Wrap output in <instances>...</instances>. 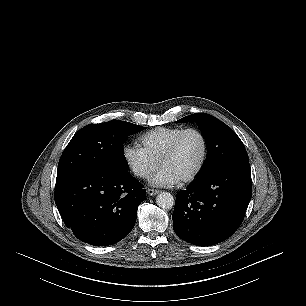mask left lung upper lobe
Returning a JSON list of instances; mask_svg holds the SVG:
<instances>
[{"label":"left lung upper lobe","mask_w":306,"mask_h":306,"mask_svg":"<svg viewBox=\"0 0 306 306\" xmlns=\"http://www.w3.org/2000/svg\"><path fill=\"white\" fill-rule=\"evenodd\" d=\"M196 122L206 141L207 157L198 176L221 167L249 164L244 144L225 123L209 114L196 113L176 121Z\"/></svg>","instance_id":"obj_1"}]
</instances>
